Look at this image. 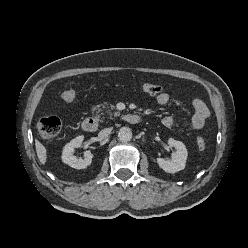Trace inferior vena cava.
<instances>
[{"mask_svg":"<svg viewBox=\"0 0 248 248\" xmlns=\"http://www.w3.org/2000/svg\"><path fill=\"white\" fill-rule=\"evenodd\" d=\"M111 131H112V128L103 129V130H101L99 132L98 137L100 139H104V138L108 137L111 134Z\"/></svg>","mask_w":248,"mask_h":248,"instance_id":"inferior-vena-cava-1","label":"inferior vena cava"}]
</instances>
